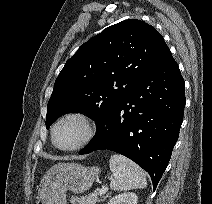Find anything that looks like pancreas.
Masks as SVG:
<instances>
[{"label": "pancreas", "mask_w": 212, "mask_h": 204, "mask_svg": "<svg viewBox=\"0 0 212 204\" xmlns=\"http://www.w3.org/2000/svg\"><path fill=\"white\" fill-rule=\"evenodd\" d=\"M98 195H99V192L95 191L94 193H90L86 195L85 197L72 196L70 199V202L72 204H96L97 202L101 201Z\"/></svg>", "instance_id": "cf45deb5"}]
</instances>
